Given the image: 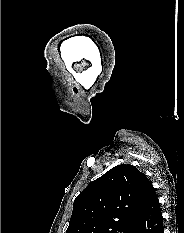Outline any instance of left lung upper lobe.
<instances>
[{"label":"left lung upper lobe","instance_id":"5c2ea615","mask_svg":"<svg viewBox=\"0 0 184 233\" xmlns=\"http://www.w3.org/2000/svg\"><path fill=\"white\" fill-rule=\"evenodd\" d=\"M154 192L135 166H115L76 197L66 233H132Z\"/></svg>","mask_w":184,"mask_h":233}]
</instances>
